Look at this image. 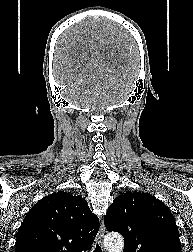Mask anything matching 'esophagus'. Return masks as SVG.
<instances>
[{
	"label": "esophagus",
	"mask_w": 193,
	"mask_h": 252,
	"mask_svg": "<svg viewBox=\"0 0 193 252\" xmlns=\"http://www.w3.org/2000/svg\"><path fill=\"white\" fill-rule=\"evenodd\" d=\"M105 234V226L103 221L101 222L96 241L99 243V245L103 248V238Z\"/></svg>",
	"instance_id": "esophagus-1"
}]
</instances>
